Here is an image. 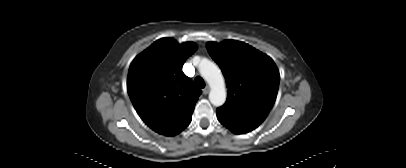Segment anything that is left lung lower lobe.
<instances>
[{"instance_id":"0a47b994","label":"left lung lower lobe","mask_w":406,"mask_h":168,"mask_svg":"<svg viewBox=\"0 0 406 168\" xmlns=\"http://www.w3.org/2000/svg\"><path fill=\"white\" fill-rule=\"evenodd\" d=\"M217 118L221 124L236 134L250 132L263 122L221 108L217 109Z\"/></svg>"}]
</instances>
